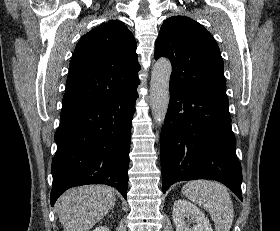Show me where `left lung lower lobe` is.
I'll return each instance as SVG.
<instances>
[{
	"mask_svg": "<svg viewBox=\"0 0 280 231\" xmlns=\"http://www.w3.org/2000/svg\"><path fill=\"white\" fill-rule=\"evenodd\" d=\"M227 97L170 86L161 131L163 193L175 182H222L242 201V171L235 152Z\"/></svg>",
	"mask_w": 280,
	"mask_h": 231,
	"instance_id": "left-lung-lower-lobe-1",
	"label": "left lung lower lobe"
}]
</instances>
